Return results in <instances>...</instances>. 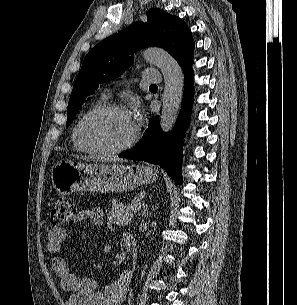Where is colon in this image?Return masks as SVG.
Masks as SVG:
<instances>
[{
  "mask_svg": "<svg viewBox=\"0 0 297 305\" xmlns=\"http://www.w3.org/2000/svg\"><path fill=\"white\" fill-rule=\"evenodd\" d=\"M50 220L55 226L74 222L76 220L74 205L66 198H58L52 208Z\"/></svg>",
  "mask_w": 297,
  "mask_h": 305,
  "instance_id": "5ec220e1",
  "label": "colon"
}]
</instances>
